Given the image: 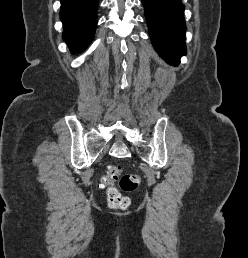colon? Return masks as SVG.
<instances>
[{"instance_id":"colon-1","label":"colon","mask_w":248,"mask_h":258,"mask_svg":"<svg viewBox=\"0 0 248 258\" xmlns=\"http://www.w3.org/2000/svg\"><path fill=\"white\" fill-rule=\"evenodd\" d=\"M121 172L122 167L120 165H110L107 174L102 178V183L104 185H109L118 181L121 190L125 192L136 191L140 184V177L137 174L121 175ZM107 195L111 208L124 210L129 206V199L126 196H123L116 188H108Z\"/></svg>"}]
</instances>
